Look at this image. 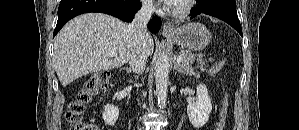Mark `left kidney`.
<instances>
[{"instance_id": "left-kidney-1", "label": "left kidney", "mask_w": 299, "mask_h": 130, "mask_svg": "<svg viewBox=\"0 0 299 130\" xmlns=\"http://www.w3.org/2000/svg\"><path fill=\"white\" fill-rule=\"evenodd\" d=\"M212 111V103L208 95L206 86L199 84L197 86L196 101L190 103L187 107V114L190 122L195 128L204 126Z\"/></svg>"}]
</instances>
